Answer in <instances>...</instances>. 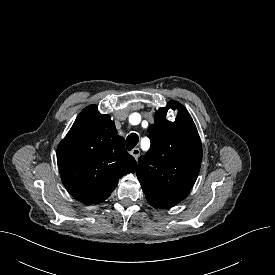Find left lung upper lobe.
Returning <instances> with one entry per match:
<instances>
[{"label": "left lung upper lobe", "instance_id": "left-lung-upper-lobe-1", "mask_svg": "<svg viewBox=\"0 0 275 275\" xmlns=\"http://www.w3.org/2000/svg\"><path fill=\"white\" fill-rule=\"evenodd\" d=\"M169 108L178 111L174 122L166 119ZM148 132L151 146L139 158L136 172L142 189L146 197L180 202L188 196L201 166L196 126L183 105L170 101L157 110Z\"/></svg>", "mask_w": 275, "mask_h": 275}]
</instances>
